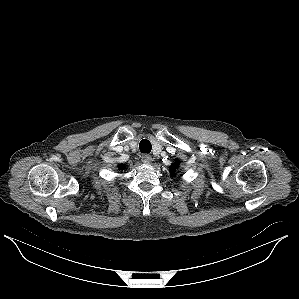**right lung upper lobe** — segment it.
<instances>
[{"instance_id": "1", "label": "right lung upper lobe", "mask_w": 299, "mask_h": 299, "mask_svg": "<svg viewBox=\"0 0 299 299\" xmlns=\"http://www.w3.org/2000/svg\"><path fill=\"white\" fill-rule=\"evenodd\" d=\"M119 168L123 170L125 168V166L123 164H121V165H119Z\"/></svg>"}]
</instances>
